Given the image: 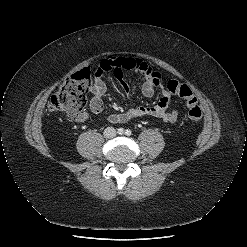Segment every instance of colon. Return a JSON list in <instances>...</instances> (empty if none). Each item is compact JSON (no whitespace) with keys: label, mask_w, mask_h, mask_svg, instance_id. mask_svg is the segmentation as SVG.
<instances>
[{"label":"colon","mask_w":247,"mask_h":247,"mask_svg":"<svg viewBox=\"0 0 247 247\" xmlns=\"http://www.w3.org/2000/svg\"><path fill=\"white\" fill-rule=\"evenodd\" d=\"M90 78L91 72L88 68L68 77L51 96L48 103L49 110L64 111L70 115L82 112L87 103ZM166 87L171 95L185 100L189 119L198 122L202 117V109L192 90L187 85L175 80L169 81Z\"/></svg>","instance_id":"obj_1"}]
</instances>
